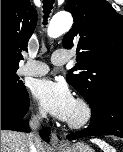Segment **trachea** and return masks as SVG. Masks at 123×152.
<instances>
[{
    "mask_svg": "<svg viewBox=\"0 0 123 152\" xmlns=\"http://www.w3.org/2000/svg\"><path fill=\"white\" fill-rule=\"evenodd\" d=\"M55 0H43V8H44V22L43 24H47V18L49 17V14L51 12V9L53 8V3Z\"/></svg>",
    "mask_w": 123,
    "mask_h": 152,
    "instance_id": "trachea-1",
    "label": "trachea"
}]
</instances>
